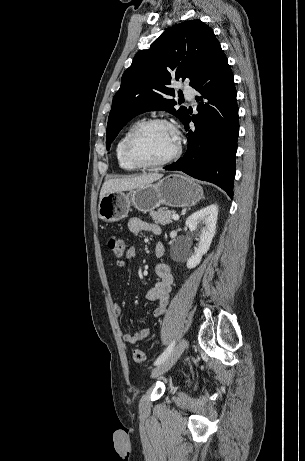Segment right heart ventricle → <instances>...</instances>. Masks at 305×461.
<instances>
[{
  "label": "right heart ventricle",
  "mask_w": 305,
  "mask_h": 461,
  "mask_svg": "<svg viewBox=\"0 0 305 461\" xmlns=\"http://www.w3.org/2000/svg\"><path fill=\"white\" fill-rule=\"evenodd\" d=\"M137 125V123H133L131 124L124 132L123 134L120 136V138L118 139L117 143H116V146H115V156H116V160L118 162V165L121 169L125 170V171H136L138 168L133 166L132 164H130L128 162V160L126 159L125 157V153H124V145H125V141L128 137V135L130 134V132L132 131V129Z\"/></svg>",
  "instance_id": "e07e8e85"
}]
</instances>
